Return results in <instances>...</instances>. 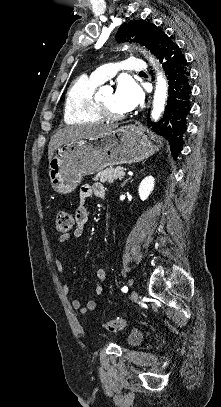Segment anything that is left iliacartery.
<instances>
[{
  "mask_svg": "<svg viewBox=\"0 0 221 407\" xmlns=\"http://www.w3.org/2000/svg\"><path fill=\"white\" fill-rule=\"evenodd\" d=\"M122 291H123V292H127V291H128V287H126V286L123 287V288H122Z\"/></svg>",
  "mask_w": 221,
  "mask_h": 407,
  "instance_id": "1",
  "label": "left iliac artery"
}]
</instances>
